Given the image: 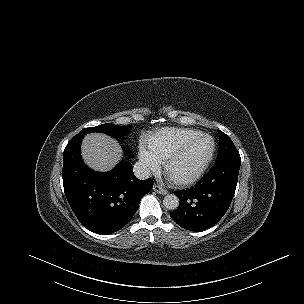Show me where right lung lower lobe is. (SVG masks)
<instances>
[{
    "label": "right lung lower lobe",
    "mask_w": 304,
    "mask_h": 304,
    "mask_svg": "<svg viewBox=\"0 0 304 304\" xmlns=\"http://www.w3.org/2000/svg\"><path fill=\"white\" fill-rule=\"evenodd\" d=\"M83 137L75 135L64 150L65 195L84 227L97 234H111L131 220L142 197L152 189L153 181L137 179L127 161L108 172L90 170L80 156Z\"/></svg>",
    "instance_id": "98d812e1"
}]
</instances>
